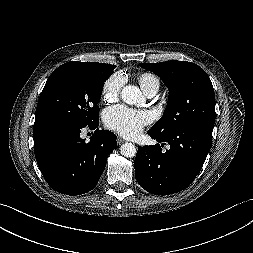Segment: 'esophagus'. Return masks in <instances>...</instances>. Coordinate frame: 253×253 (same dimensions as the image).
I'll use <instances>...</instances> for the list:
<instances>
[{
    "instance_id": "1",
    "label": "esophagus",
    "mask_w": 253,
    "mask_h": 253,
    "mask_svg": "<svg viewBox=\"0 0 253 253\" xmlns=\"http://www.w3.org/2000/svg\"><path fill=\"white\" fill-rule=\"evenodd\" d=\"M124 142H125V140L122 139L121 137H118V138H117V143H118L119 145H121V144L124 143Z\"/></svg>"
}]
</instances>
